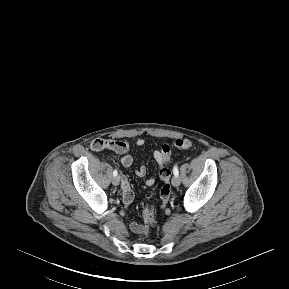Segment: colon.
Instances as JSON below:
<instances>
[{"instance_id": "colon-1", "label": "colon", "mask_w": 289, "mask_h": 289, "mask_svg": "<svg viewBox=\"0 0 289 289\" xmlns=\"http://www.w3.org/2000/svg\"><path fill=\"white\" fill-rule=\"evenodd\" d=\"M192 145H193V142L190 139H188V138H180V139H177L173 143V146L175 148L182 149V150L189 149V148L192 147ZM159 150H160V156H161V160H162V165L168 164L169 161H170V157H171V146L170 145H163ZM165 204L163 203V206ZM143 219H144V224H145L146 231H149L151 228H153L155 220H154V216H153L152 207L149 204H146L145 207H144Z\"/></svg>"}]
</instances>
